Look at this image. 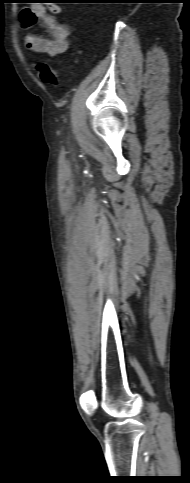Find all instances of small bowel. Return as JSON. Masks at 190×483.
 <instances>
[{
    "label": "small bowel",
    "instance_id": "small-bowel-1",
    "mask_svg": "<svg viewBox=\"0 0 190 483\" xmlns=\"http://www.w3.org/2000/svg\"><path fill=\"white\" fill-rule=\"evenodd\" d=\"M60 11L59 6L49 4H34L21 11L19 19L24 27L30 28L40 24L48 34V36L26 34L24 43L29 52L55 58L68 50L70 29L58 20L57 14Z\"/></svg>",
    "mask_w": 190,
    "mask_h": 483
}]
</instances>
